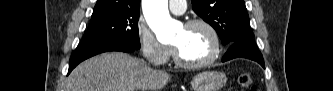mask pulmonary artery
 I'll use <instances>...</instances> for the list:
<instances>
[{
  "instance_id": "1",
  "label": "pulmonary artery",
  "mask_w": 333,
  "mask_h": 91,
  "mask_svg": "<svg viewBox=\"0 0 333 91\" xmlns=\"http://www.w3.org/2000/svg\"><path fill=\"white\" fill-rule=\"evenodd\" d=\"M169 9L173 14L181 15L186 10L185 1H169Z\"/></svg>"
}]
</instances>
